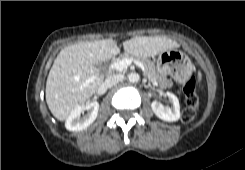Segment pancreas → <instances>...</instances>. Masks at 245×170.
Wrapping results in <instances>:
<instances>
[{
  "mask_svg": "<svg viewBox=\"0 0 245 170\" xmlns=\"http://www.w3.org/2000/svg\"><path fill=\"white\" fill-rule=\"evenodd\" d=\"M123 58H129L133 61H139L141 62L146 70V74L148 77L154 81L157 82L160 88H169L173 85L172 80L167 79L166 75L161 73L157 70L155 64L151 62L148 58H145L143 56H135L127 54L126 56H123Z\"/></svg>",
  "mask_w": 245,
  "mask_h": 170,
  "instance_id": "1",
  "label": "pancreas"
}]
</instances>
